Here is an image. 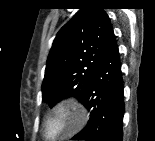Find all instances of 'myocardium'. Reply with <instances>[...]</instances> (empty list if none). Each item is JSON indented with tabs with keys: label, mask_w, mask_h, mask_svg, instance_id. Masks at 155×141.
Returning <instances> with one entry per match:
<instances>
[{
	"label": "myocardium",
	"mask_w": 155,
	"mask_h": 141,
	"mask_svg": "<svg viewBox=\"0 0 155 141\" xmlns=\"http://www.w3.org/2000/svg\"><path fill=\"white\" fill-rule=\"evenodd\" d=\"M85 121L84 111L69 101H59L44 115L41 136L50 141L59 140L77 130Z\"/></svg>",
	"instance_id": "1"
}]
</instances>
